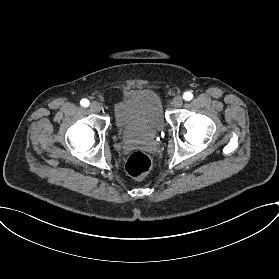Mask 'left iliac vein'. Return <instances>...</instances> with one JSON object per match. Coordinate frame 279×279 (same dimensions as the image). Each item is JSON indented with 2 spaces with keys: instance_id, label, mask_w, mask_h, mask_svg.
<instances>
[{
  "instance_id": "4c4485c4",
  "label": "left iliac vein",
  "mask_w": 279,
  "mask_h": 279,
  "mask_svg": "<svg viewBox=\"0 0 279 279\" xmlns=\"http://www.w3.org/2000/svg\"><path fill=\"white\" fill-rule=\"evenodd\" d=\"M172 106L174 108H179L183 105V99L181 96H176L173 98L172 102H171Z\"/></svg>"
}]
</instances>
